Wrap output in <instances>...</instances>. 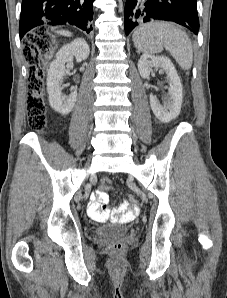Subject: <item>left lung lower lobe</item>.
Segmentation results:
<instances>
[{
	"label": "left lung lower lobe",
	"instance_id": "left-lung-lower-lobe-1",
	"mask_svg": "<svg viewBox=\"0 0 227 298\" xmlns=\"http://www.w3.org/2000/svg\"><path fill=\"white\" fill-rule=\"evenodd\" d=\"M152 20L174 21L198 34L196 0H126L125 33L138 24Z\"/></svg>",
	"mask_w": 227,
	"mask_h": 298
}]
</instances>
